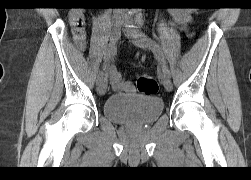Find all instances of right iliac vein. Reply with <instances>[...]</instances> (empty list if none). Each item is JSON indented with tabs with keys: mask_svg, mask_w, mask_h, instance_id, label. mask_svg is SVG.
<instances>
[{
	"mask_svg": "<svg viewBox=\"0 0 251 180\" xmlns=\"http://www.w3.org/2000/svg\"><path fill=\"white\" fill-rule=\"evenodd\" d=\"M120 37H121V24L116 23L111 32L110 48L115 47ZM107 85H108V79H107V75L105 74V76L102 78V80L98 83V86H97V92L99 93V95L105 94Z\"/></svg>",
	"mask_w": 251,
	"mask_h": 180,
	"instance_id": "63e3f726",
	"label": "right iliac vein"
}]
</instances>
